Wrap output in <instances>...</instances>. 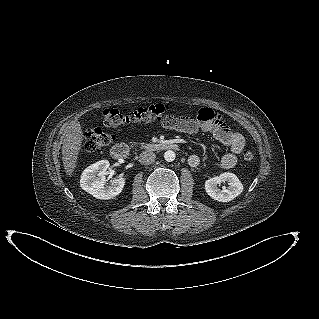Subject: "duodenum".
<instances>
[{
	"label": "duodenum",
	"instance_id": "obj_1",
	"mask_svg": "<svg viewBox=\"0 0 319 319\" xmlns=\"http://www.w3.org/2000/svg\"><path fill=\"white\" fill-rule=\"evenodd\" d=\"M148 151H162V150H178L179 147L176 143L171 141H161L149 143L145 146ZM111 156L115 160L124 159L129 153V147L125 143H118L111 148Z\"/></svg>",
	"mask_w": 319,
	"mask_h": 319
}]
</instances>
